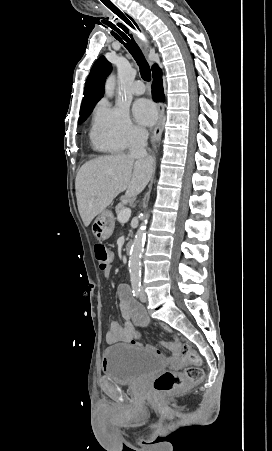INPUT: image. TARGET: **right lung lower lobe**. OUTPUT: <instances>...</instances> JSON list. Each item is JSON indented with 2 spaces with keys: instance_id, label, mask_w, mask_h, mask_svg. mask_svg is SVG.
<instances>
[{
  "instance_id": "obj_1",
  "label": "right lung lower lobe",
  "mask_w": 272,
  "mask_h": 451,
  "mask_svg": "<svg viewBox=\"0 0 272 451\" xmlns=\"http://www.w3.org/2000/svg\"><path fill=\"white\" fill-rule=\"evenodd\" d=\"M152 71H153V96L154 99L156 101H158L159 96H161L162 98L164 97V93H163V82H162V71L161 69L157 66L154 65L152 67Z\"/></svg>"
}]
</instances>
